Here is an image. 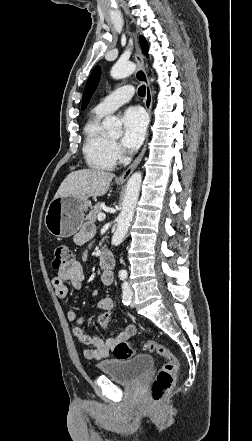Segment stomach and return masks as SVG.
Returning <instances> with one entry per match:
<instances>
[{
  "label": "stomach",
  "instance_id": "0dacf381",
  "mask_svg": "<svg viewBox=\"0 0 252 441\" xmlns=\"http://www.w3.org/2000/svg\"><path fill=\"white\" fill-rule=\"evenodd\" d=\"M90 206L88 197L61 196L54 198L45 214L47 230L57 238L73 236L82 226L84 212Z\"/></svg>",
  "mask_w": 252,
  "mask_h": 441
}]
</instances>
